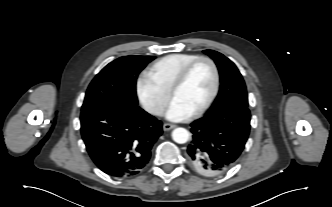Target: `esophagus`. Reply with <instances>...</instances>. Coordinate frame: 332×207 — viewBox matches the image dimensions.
Masks as SVG:
<instances>
[{
	"mask_svg": "<svg viewBox=\"0 0 332 207\" xmlns=\"http://www.w3.org/2000/svg\"><path fill=\"white\" fill-rule=\"evenodd\" d=\"M175 127H176V125H174V124L165 123V124L163 125V130H164V131H168V130H171V129L175 128Z\"/></svg>",
	"mask_w": 332,
	"mask_h": 207,
	"instance_id": "obj_1",
	"label": "esophagus"
}]
</instances>
